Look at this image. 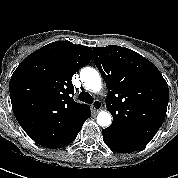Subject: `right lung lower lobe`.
I'll return each instance as SVG.
<instances>
[{"label":"right lung lower lobe","mask_w":178,"mask_h":178,"mask_svg":"<svg viewBox=\"0 0 178 178\" xmlns=\"http://www.w3.org/2000/svg\"><path fill=\"white\" fill-rule=\"evenodd\" d=\"M73 140H74V139H73ZM73 140H72V141H73ZM72 141H70L69 143H71ZM69 143H67V144H69ZM67 144H66V145H67ZM64 146H65V145H64ZM62 147H63V146H62Z\"/></svg>","instance_id":"98d812e1"}]
</instances>
